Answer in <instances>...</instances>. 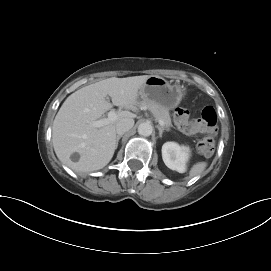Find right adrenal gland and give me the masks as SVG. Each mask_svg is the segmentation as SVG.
<instances>
[{"label":"right adrenal gland","mask_w":271,"mask_h":271,"mask_svg":"<svg viewBox=\"0 0 271 271\" xmlns=\"http://www.w3.org/2000/svg\"><path fill=\"white\" fill-rule=\"evenodd\" d=\"M122 135H118L117 138H116V147L118 146V142L119 140L121 139Z\"/></svg>","instance_id":"right-adrenal-gland-1"}]
</instances>
